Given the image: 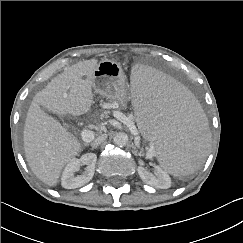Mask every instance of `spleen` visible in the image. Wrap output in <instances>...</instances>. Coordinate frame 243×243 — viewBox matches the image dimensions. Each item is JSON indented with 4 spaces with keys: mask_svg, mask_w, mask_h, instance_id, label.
Wrapping results in <instances>:
<instances>
[{
    "mask_svg": "<svg viewBox=\"0 0 243 243\" xmlns=\"http://www.w3.org/2000/svg\"><path fill=\"white\" fill-rule=\"evenodd\" d=\"M131 83L141 93L150 95L154 106L160 110L148 125L137 110V123L141 133L155 142L161 169L172 175L184 173L188 159H179L163 142L181 145L188 135L199 136L203 132L208 135L207 122L198 106L168 76L147 67L136 68L131 74Z\"/></svg>",
    "mask_w": 243,
    "mask_h": 243,
    "instance_id": "3e777b00",
    "label": "spleen"
}]
</instances>
